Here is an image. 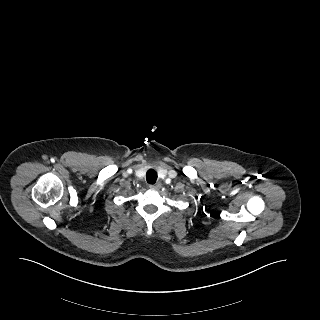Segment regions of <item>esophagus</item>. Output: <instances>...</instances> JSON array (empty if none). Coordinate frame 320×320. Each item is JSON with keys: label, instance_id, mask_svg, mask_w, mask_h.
Listing matches in <instances>:
<instances>
[{"label": "esophagus", "instance_id": "1", "mask_svg": "<svg viewBox=\"0 0 320 320\" xmlns=\"http://www.w3.org/2000/svg\"><path fill=\"white\" fill-rule=\"evenodd\" d=\"M161 187V184L158 182V183H155V184H150L149 185V188L152 189V190H157Z\"/></svg>", "mask_w": 320, "mask_h": 320}]
</instances>
